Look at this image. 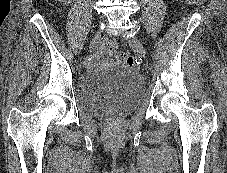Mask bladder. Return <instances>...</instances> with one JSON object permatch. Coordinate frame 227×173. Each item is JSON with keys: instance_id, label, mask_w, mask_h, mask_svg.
Segmentation results:
<instances>
[{"instance_id": "bladder-1", "label": "bladder", "mask_w": 227, "mask_h": 173, "mask_svg": "<svg viewBox=\"0 0 227 173\" xmlns=\"http://www.w3.org/2000/svg\"><path fill=\"white\" fill-rule=\"evenodd\" d=\"M143 94L142 77L121 66L87 71L76 86L79 105L92 115L126 114L140 104Z\"/></svg>"}]
</instances>
